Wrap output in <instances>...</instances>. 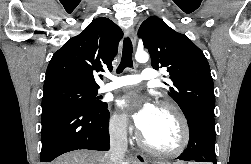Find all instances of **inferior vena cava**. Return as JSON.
<instances>
[{
	"instance_id": "obj_1",
	"label": "inferior vena cava",
	"mask_w": 251,
	"mask_h": 164,
	"mask_svg": "<svg viewBox=\"0 0 251 164\" xmlns=\"http://www.w3.org/2000/svg\"><path fill=\"white\" fill-rule=\"evenodd\" d=\"M127 120L121 119L110 131V163L124 164L127 152Z\"/></svg>"
}]
</instances>
